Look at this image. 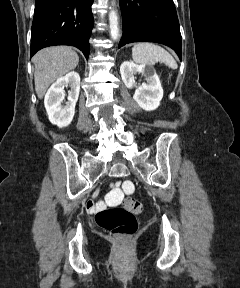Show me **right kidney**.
I'll use <instances>...</instances> for the list:
<instances>
[{
	"mask_svg": "<svg viewBox=\"0 0 240 288\" xmlns=\"http://www.w3.org/2000/svg\"><path fill=\"white\" fill-rule=\"evenodd\" d=\"M70 86L68 93V102L63 105L65 97V86ZM80 92V76L77 72H69L64 77L57 79L47 91L44 99V105L52 124L58 127L68 126L75 114V105Z\"/></svg>",
	"mask_w": 240,
	"mask_h": 288,
	"instance_id": "right-kidney-1",
	"label": "right kidney"
}]
</instances>
